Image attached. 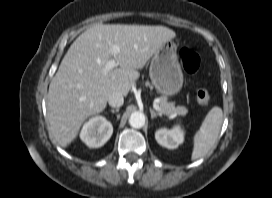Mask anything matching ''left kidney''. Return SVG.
Here are the masks:
<instances>
[{
	"instance_id": "5707ae66",
	"label": "left kidney",
	"mask_w": 272,
	"mask_h": 198,
	"mask_svg": "<svg viewBox=\"0 0 272 198\" xmlns=\"http://www.w3.org/2000/svg\"><path fill=\"white\" fill-rule=\"evenodd\" d=\"M156 141L168 149H175L184 141V132L179 125L173 129H159L155 133Z\"/></svg>"
}]
</instances>
